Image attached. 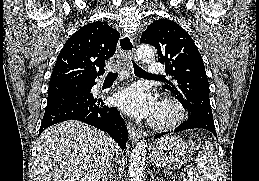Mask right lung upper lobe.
Wrapping results in <instances>:
<instances>
[{
  "mask_svg": "<svg viewBox=\"0 0 259 181\" xmlns=\"http://www.w3.org/2000/svg\"><path fill=\"white\" fill-rule=\"evenodd\" d=\"M120 34L106 22L87 24L74 33L57 57L50 85L94 80L116 50Z\"/></svg>",
  "mask_w": 259,
  "mask_h": 181,
  "instance_id": "obj_1",
  "label": "right lung upper lobe"
}]
</instances>
